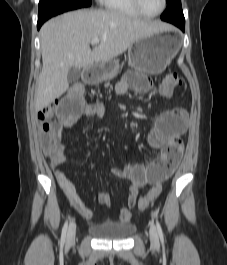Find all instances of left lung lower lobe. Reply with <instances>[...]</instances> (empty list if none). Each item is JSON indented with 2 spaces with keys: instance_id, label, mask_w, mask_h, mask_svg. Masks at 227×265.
Instances as JSON below:
<instances>
[{
  "instance_id": "0a47b994",
  "label": "left lung lower lobe",
  "mask_w": 227,
  "mask_h": 265,
  "mask_svg": "<svg viewBox=\"0 0 227 265\" xmlns=\"http://www.w3.org/2000/svg\"><path fill=\"white\" fill-rule=\"evenodd\" d=\"M171 23H173L174 25L178 26L182 31H185V22L173 21Z\"/></svg>"
}]
</instances>
